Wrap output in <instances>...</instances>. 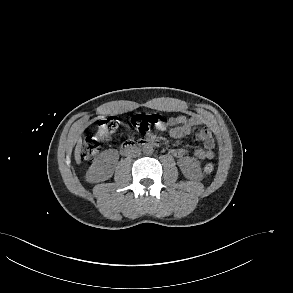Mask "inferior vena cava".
Listing matches in <instances>:
<instances>
[{"label":"inferior vena cava","mask_w":293,"mask_h":293,"mask_svg":"<svg viewBox=\"0 0 293 293\" xmlns=\"http://www.w3.org/2000/svg\"><path fill=\"white\" fill-rule=\"evenodd\" d=\"M141 154V150L139 148H132L129 152H128V156L131 158H135L138 157Z\"/></svg>","instance_id":"inferior-vena-cava-1"}]
</instances>
